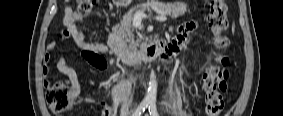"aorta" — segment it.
Returning <instances> with one entry per match:
<instances>
[{
  "label": "aorta",
  "instance_id": "aorta-1",
  "mask_svg": "<svg viewBox=\"0 0 283 116\" xmlns=\"http://www.w3.org/2000/svg\"><path fill=\"white\" fill-rule=\"evenodd\" d=\"M157 95V81L154 74L151 75L148 90L145 95V101L148 103H155Z\"/></svg>",
  "mask_w": 283,
  "mask_h": 116
}]
</instances>
